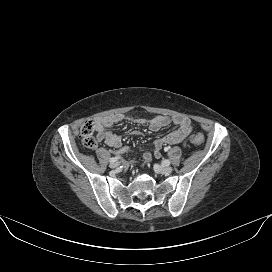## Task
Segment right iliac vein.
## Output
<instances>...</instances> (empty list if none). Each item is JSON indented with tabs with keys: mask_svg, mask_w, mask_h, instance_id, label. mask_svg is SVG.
Listing matches in <instances>:
<instances>
[{
	"mask_svg": "<svg viewBox=\"0 0 272 272\" xmlns=\"http://www.w3.org/2000/svg\"><path fill=\"white\" fill-rule=\"evenodd\" d=\"M119 165V162H113V163H110V167L111 168H116L117 166Z\"/></svg>",
	"mask_w": 272,
	"mask_h": 272,
	"instance_id": "obj_1",
	"label": "right iliac vein"
}]
</instances>
